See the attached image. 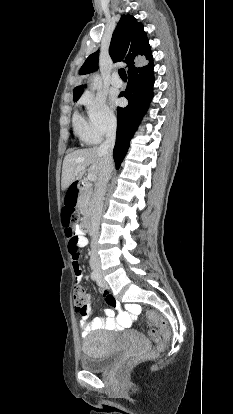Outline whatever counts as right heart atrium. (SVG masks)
Returning a JSON list of instances; mask_svg holds the SVG:
<instances>
[{
    "label": "right heart atrium",
    "instance_id": "obj_1",
    "mask_svg": "<svg viewBox=\"0 0 233 414\" xmlns=\"http://www.w3.org/2000/svg\"><path fill=\"white\" fill-rule=\"evenodd\" d=\"M87 112V142L98 143L112 134L117 126V117L100 95L88 94L81 100Z\"/></svg>",
    "mask_w": 233,
    "mask_h": 414
}]
</instances>
